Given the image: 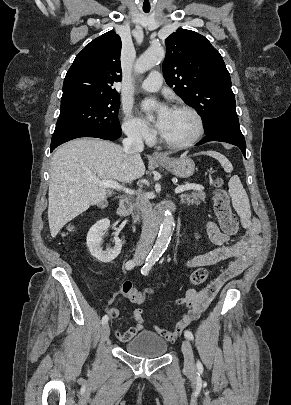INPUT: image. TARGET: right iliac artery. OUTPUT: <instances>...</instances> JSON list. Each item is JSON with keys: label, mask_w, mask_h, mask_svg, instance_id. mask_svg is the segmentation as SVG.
I'll list each match as a JSON object with an SVG mask.
<instances>
[{"label": "right iliac artery", "mask_w": 291, "mask_h": 405, "mask_svg": "<svg viewBox=\"0 0 291 405\" xmlns=\"http://www.w3.org/2000/svg\"><path fill=\"white\" fill-rule=\"evenodd\" d=\"M125 267H126L127 270H131V269H133L135 267V262L133 260H129L125 264ZM108 319H109L108 315H104L103 318H102V324L107 323Z\"/></svg>", "instance_id": "1"}]
</instances>
